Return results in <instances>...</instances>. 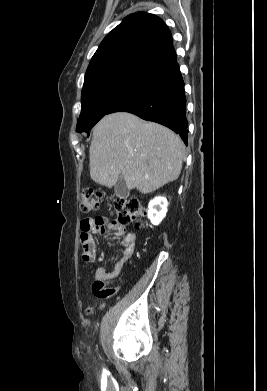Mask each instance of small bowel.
Here are the masks:
<instances>
[{"mask_svg":"<svg viewBox=\"0 0 267 391\" xmlns=\"http://www.w3.org/2000/svg\"><path fill=\"white\" fill-rule=\"evenodd\" d=\"M80 229L82 259L86 262H92L96 256L94 235L110 232L113 240L121 241L122 253L114 269L109 272L103 268H98L95 272V280L92 286L93 293L100 298L108 297L117 291V288H110L109 283L120 277L125 264L133 255L136 234L131 230H126L125 227L118 225L115 221L102 216L83 219Z\"/></svg>","mask_w":267,"mask_h":391,"instance_id":"obj_1","label":"small bowel"}]
</instances>
